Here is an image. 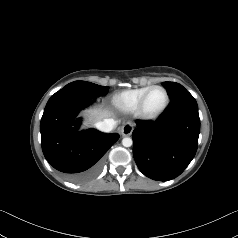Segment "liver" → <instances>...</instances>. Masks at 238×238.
Here are the masks:
<instances>
[{
    "label": "liver",
    "mask_w": 238,
    "mask_h": 238,
    "mask_svg": "<svg viewBox=\"0 0 238 238\" xmlns=\"http://www.w3.org/2000/svg\"><path fill=\"white\" fill-rule=\"evenodd\" d=\"M85 114L88 116L89 122H99L111 115L109 111L101 109H90Z\"/></svg>",
    "instance_id": "liver-1"
}]
</instances>
